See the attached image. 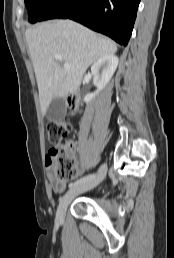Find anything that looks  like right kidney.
Segmentation results:
<instances>
[{
  "mask_svg": "<svg viewBox=\"0 0 174 258\" xmlns=\"http://www.w3.org/2000/svg\"><path fill=\"white\" fill-rule=\"evenodd\" d=\"M119 63L118 57L115 55H107L97 60L91 66V72L93 75V82L97 86V90L94 93L87 94L84 98L86 103L91 102L93 98L107 85L112 78ZM101 70V74L99 71Z\"/></svg>",
  "mask_w": 174,
  "mask_h": 258,
  "instance_id": "1",
  "label": "right kidney"
}]
</instances>
